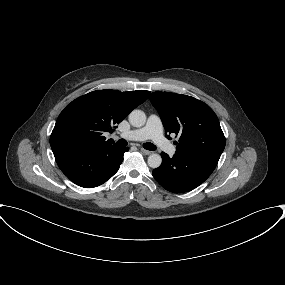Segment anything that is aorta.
<instances>
[{"label":"aorta","mask_w":285,"mask_h":285,"mask_svg":"<svg viewBox=\"0 0 285 285\" xmlns=\"http://www.w3.org/2000/svg\"><path fill=\"white\" fill-rule=\"evenodd\" d=\"M129 122L134 127H142L146 122V115L143 111L135 109L129 114ZM161 163L162 158L159 154L154 153L148 157V165L153 169L158 168Z\"/></svg>","instance_id":"obj_1"}]
</instances>
